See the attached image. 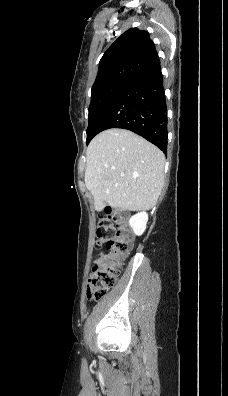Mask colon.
Masks as SVG:
<instances>
[{"label": "colon", "instance_id": "colon-1", "mask_svg": "<svg viewBox=\"0 0 228 396\" xmlns=\"http://www.w3.org/2000/svg\"><path fill=\"white\" fill-rule=\"evenodd\" d=\"M97 243L103 244L105 251L91 270L87 282L89 300L102 299L115 284L122 268L123 258L131 249V234L123 217L116 210L107 207L99 219Z\"/></svg>", "mask_w": 228, "mask_h": 396}]
</instances>
